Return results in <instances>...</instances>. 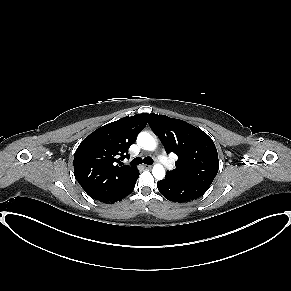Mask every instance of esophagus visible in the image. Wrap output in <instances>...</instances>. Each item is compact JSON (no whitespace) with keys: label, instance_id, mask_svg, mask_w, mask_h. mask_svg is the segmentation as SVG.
Returning <instances> with one entry per match:
<instances>
[{"label":"esophagus","instance_id":"obj_1","mask_svg":"<svg viewBox=\"0 0 291 291\" xmlns=\"http://www.w3.org/2000/svg\"><path fill=\"white\" fill-rule=\"evenodd\" d=\"M144 167H145L146 169H148V170H150V169L152 168L151 165H144Z\"/></svg>","mask_w":291,"mask_h":291}]
</instances>
